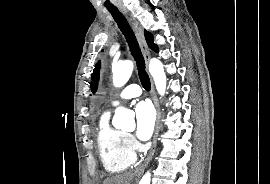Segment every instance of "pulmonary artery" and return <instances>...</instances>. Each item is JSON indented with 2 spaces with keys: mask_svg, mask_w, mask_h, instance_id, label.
Returning <instances> with one entry per match:
<instances>
[{
  "mask_svg": "<svg viewBox=\"0 0 270 184\" xmlns=\"http://www.w3.org/2000/svg\"><path fill=\"white\" fill-rule=\"evenodd\" d=\"M142 93L141 88L137 84H130L127 87H125L119 95L112 101V106H117L126 99H131L140 96Z\"/></svg>",
  "mask_w": 270,
  "mask_h": 184,
  "instance_id": "1",
  "label": "pulmonary artery"
}]
</instances>
